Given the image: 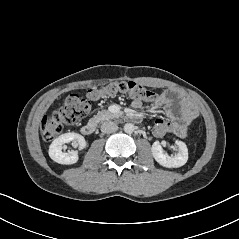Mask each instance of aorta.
Here are the masks:
<instances>
[{
  "label": "aorta",
  "instance_id": "1",
  "mask_svg": "<svg viewBox=\"0 0 239 239\" xmlns=\"http://www.w3.org/2000/svg\"><path fill=\"white\" fill-rule=\"evenodd\" d=\"M135 130V126L132 123H126L124 125V131L128 134L133 133Z\"/></svg>",
  "mask_w": 239,
  "mask_h": 239
}]
</instances>
